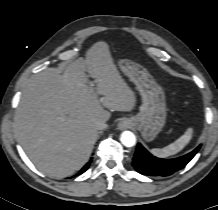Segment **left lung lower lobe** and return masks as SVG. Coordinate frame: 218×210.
<instances>
[{"mask_svg": "<svg viewBox=\"0 0 218 210\" xmlns=\"http://www.w3.org/2000/svg\"><path fill=\"white\" fill-rule=\"evenodd\" d=\"M200 146L192 152L174 159H161L151 155L140 143H138L132 166L143 175L168 176L184 168L196 155Z\"/></svg>", "mask_w": 218, "mask_h": 210, "instance_id": "1", "label": "left lung lower lobe"}]
</instances>
